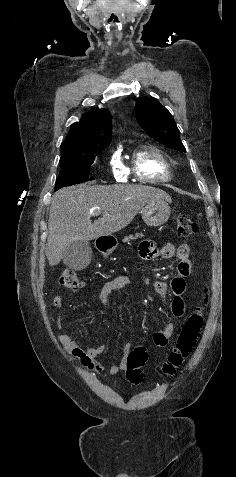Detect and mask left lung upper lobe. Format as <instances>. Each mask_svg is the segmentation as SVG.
I'll return each instance as SVG.
<instances>
[{
  "label": "left lung upper lobe",
  "mask_w": 236,
  "mask_h": 477,
  "mask_svg": "<svg viewBox=\"0 0 236 477\" xmlns=\"http://www.w3.org/2000/svg\"><path fill=\"white\" fill-rule=\"evenodd\" d=\"M135 115L139 125L149 136L172 149L186 152L175 120L157 99H139L135 105Z\"/></svg>",
  "instance_id": "obj_1"
}]
</instances>
